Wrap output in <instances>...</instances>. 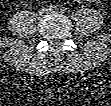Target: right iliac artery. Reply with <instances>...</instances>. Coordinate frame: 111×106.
Returning a JSON list of instances; mask_svg holds the SVG:
<instances>
[{
	"label": "right iliac artery",
	"mask_w": 111,
	"mask_h": 106,
	"mask_svg": "<svg viewBox=\"0 0 111 106\" xmlns=\"http://www.w3.org/2000/svg\"><path fill=\"white\" fill-rule=\"evenodd\" d=\"M56 8H57L56 5H50V6H49V10H50V11L56 10Z\"/></svg>",
	"instance_id": "right-iliac-artery-1"
}]
</instances>
